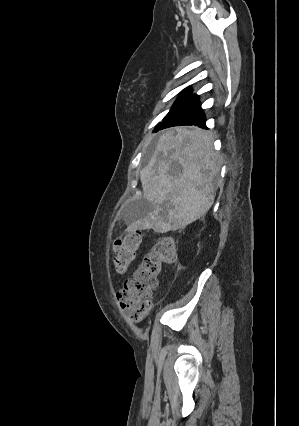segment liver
I'll use <instances>...</instances> for the list:
<instances>
[{
    "mask_svg": "<svg viewBox=\"0 0 299 426\" xmlns=\"http://www.w3.org/2000/svg\"><path fill=\"white\" fill-rule=\"evenodd\" d=\"M212 144V135L199 128L176 127L160 135L151 159L140 172L143 197L153 209L128 230H178L211 208L220 170ZM172 164L181 168V174H171Z\"/></svg>",
    "mask_w": 299,
    "mask_h": 426,
    "instance_id": "6515ba94",
    "label": "liver"
}]
</instances>
